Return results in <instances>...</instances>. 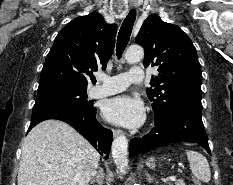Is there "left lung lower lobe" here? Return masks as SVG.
Returning a JSON list of instances; mask_svg holds the SVG:
<instances>
[{
	"instance_id": "1",
	"label": "left lung lower lobe",
	"mask_w": 233,
	"mask_h": 185,
	"mask_svg": "<svg viewBox=\"0 0 233 185\" xmlns=\"http://www.w3.org/2000/svg\"><path fill=\"white\" fill-rule=\"evenodd\" d=\"M201 115V98L184 100L165 120L155 121V127L149 134L131 139L129 152L136 155L169 143L192 142L211 155Z\"/></svg>"
}]
</instances>
